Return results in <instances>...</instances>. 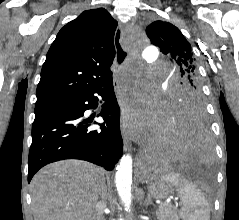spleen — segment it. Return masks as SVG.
<instances>
[{"label": "spleen", "instance_id": "spleen-1", "mask_svg": "<svg viewBox=\"0 0 239 220\" xmlns=\"http://www.w3.org/2000/svg\"><path fill=\"white\" fill-rule=\"evenodd\" d=\"M162 181L176 187L182 201L180 217L183 220H210L208 202L202 192L191 182L177 173H167L161 176Z\"/></svg>", "mask_w": 239, "mask_h": 220}]
</instances>
